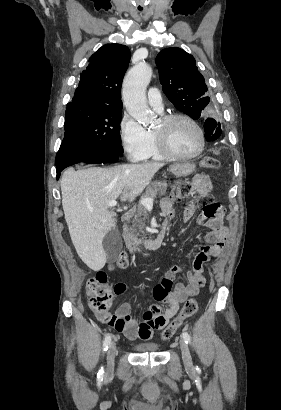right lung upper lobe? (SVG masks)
<instances>
[{
    "label": "right lung upper lobe",
    "instance_id": "1",
    "mask_svg": "<svg viewBox=\"0 0 281 410\" xmlns=\"http://www.w3.org/2000/svg\"><path fill=\"white\" fill-rule=\"evenodd\" d=\"M130 61L128 47L106 44L89 59L70 105L121 109V85Z\"/></svg>",
    "mask_w": 281,
    "mask_h": 410
}]
</instances>
